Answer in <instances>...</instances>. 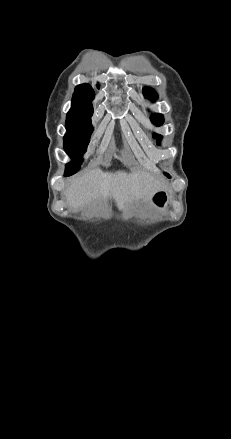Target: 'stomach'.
<instances>
[{
    "label": "stomach",
    "mask_w": 231,
    "mask_h": 439,
    "mask_svg": "<svg viewBox=\"0 0 231 439\" xmlns=\"http://www.w3.org/2000/svg\"><path fill=\"white\" fill-rule=\"evenodd\" d=\"M166 194L163 191H158L153 194V196L150 199V203L154 206L162 208L166 204Z\"/></svg>",
    "instance_id": "obj_1"
}]
</instances>
